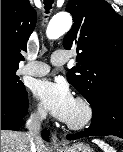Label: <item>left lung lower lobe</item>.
I'll return each mask as SVG.
<instances>
[{
	"label": "left lung lower lobe",
	"mask_w": 123,
	"mask_h": 152,
	"mask_svg": "<svg viewBox=\"0 0 123 152\" xmlns=\"http://www.w3.org/2000/svg\"><path fill=\"white\" fill-rule=\"evenodd\" d=\"M93 119L89 128L67 135L68 140L89 136L115 135L123 138V93H109L93 105Z\"/></svg>",
	"instance_id": "left-lung-lower-lobe-1"
}]
</instances>
